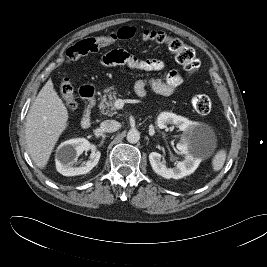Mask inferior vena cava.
<instances>
[{"mask_svg":"<svg viewBox=\"0 0 267 267\" xmlns=\"http://www.w3.org/2000/svg\"><path fill=\"white\" fill-rule=\"evenodd\" d=\"M103 132H115L120 128V123L116 120H105L100 124Z\"/></svg>","mask_w":267,"mask_h":267,"instance_id":"602c4592","label":"inferior vena cava"}]
</instances>
